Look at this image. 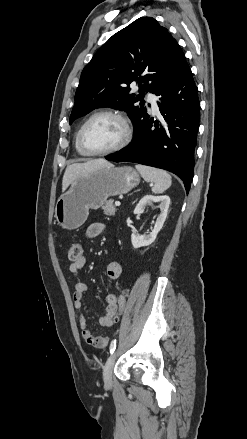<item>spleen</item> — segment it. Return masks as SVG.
<instances>
[{
    "label": "spleen",
    "mask_w": 247,
    "mask_h": 439,
    "mask_svg": "<svg viewBox=\"0 0 247 439\" xmlns=\"http://www.w3.org/2000/svg\"><path fill=\"white\" fill-rule=\"evenodd\" d=\"M135 167L145 181L154 183L152 187L153 193H163L171 186V176L166 171L140 164H137Z\"/></svg>",
    "instance_id": "1"
}]
</instances>
